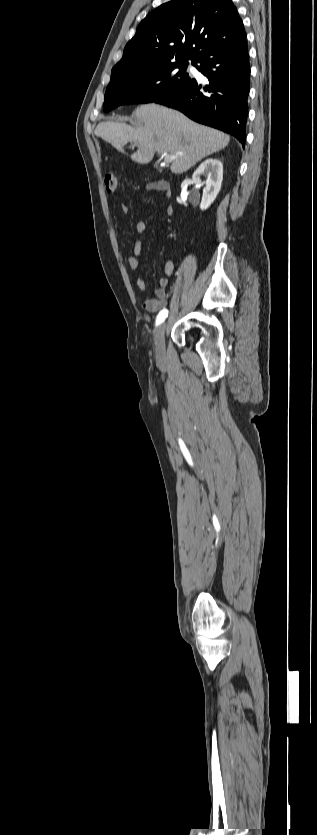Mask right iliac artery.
<instances>
[{
	"label": "right iliac artery",
	"mask_w": 317,
	"mask_h": 835,
	"mask_svg": "<svg viewBox=\"0 0 317 835\" xmlns=\"http://www.w3.org/2000/svg\"><path fill=\"white\" fill-rule=\"evenodd\" d=\"M167 315H168V310L166 308L162 309L159 312V314L157 315L156 325H159L160 323H162L164 321V319L167 317Z\"/></svg>",
	"instance_id": "obj_1"
}]
</instances>
